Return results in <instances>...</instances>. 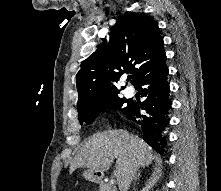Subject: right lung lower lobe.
Wrapping results in <instances>:
<instances>
[{
	"mask_svg": "<svg viewBox=\"0 0 221 191\" xmlns=\"http://www.w3.org/2000/svg\"><path fill=\"white\" fill-rule=\"evenodd\" d=\"M166 54L149 68L135 83V87L146 100L142 103H130L126 113L129 119L137 123L143 133V139L160 154L166 146V128L169 125V112L172 102L169 99L167 82L168 68ZM145 110L146 114H141Z\"/></svg>",
	"mask_w": 221,
	"mask_h": 191,
	"instance_id": "right-lung-lower-lobe-1",
	"label": "right lung lower lobe"
}]
</instances>
